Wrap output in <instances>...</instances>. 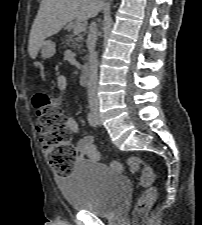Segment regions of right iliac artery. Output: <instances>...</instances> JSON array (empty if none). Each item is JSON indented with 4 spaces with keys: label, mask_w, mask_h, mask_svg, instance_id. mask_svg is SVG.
Returning a JSON list of instances; mask_svg holds the SVG:
<instances>
[{
    "label": "right iliac artery",
    "mask_w": 202,
    "mask_h": 225,
    "mask_svg": "<svg viewBox=\"0 0 202 225\" xmlns=\"http://www.w3.org/2000/svg\"><path fill=\"white\" fill-rule=\"evenodd\" d=\"M87 121L90 126L97 127L95 116L91 112L87 115Z\"/></svg>",
    "instance_id": "obj_1"
}]
</instances>
